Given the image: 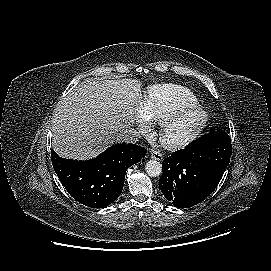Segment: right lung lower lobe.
I'll return each mask as SVG.
<instances>
[{
	"instance_id": "1",
	"label": "right lung lower lobe",
	"mask_w": 271,
	"mask_h": 271,
	"mask_svg": "<svg viewBox=\"0 0 271 271\" xmlns=\"http://www.w3.org/2000/svg\"><path fill=\"white\" fill-rule=\"evenodd\" d=\"M145 155L146 149L134 144H115L87 161L65 159L51 151L54 170L67 192L93 208L106 207L118 198L126 170Z\"/></svg>"
}]
</instances>
